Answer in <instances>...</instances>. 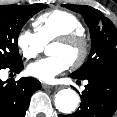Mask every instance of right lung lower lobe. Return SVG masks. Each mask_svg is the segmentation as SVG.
I'll use <instances>...</instances> for the list:
<instances>
[{
    "instance_id": "1",
    "label": "right lung lower lobe",
    "mask_w": 117,
    "mask_h": 117,
    "mask_svg": "<svg viewBox=\"0 0 117 117\" xmlns=\"http://www.w3.org/2000/svg\"><path fill=\"white\" fill-rule=\"evenodd\" d=\"M7 68L11 72L19 73L23 69V63ZM40 88V82L32 77H23L18 81L0 80V117H24L31 95Z\"/></svg>"
}]
</instances>
